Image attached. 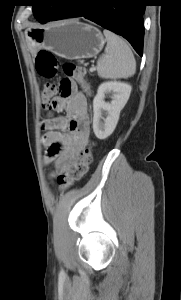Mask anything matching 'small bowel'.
I'll return each instance as SVG.
<instances>
[{"label":"small bowel","mask_w":181,"mask_h":300,"mask_svg":"<svg viewBox=\"0 0 181 300\" xmlns=\"http://www.w3.org/2000/svg\"><path fill=\"white\" fill-rule=\"evenodd\" d=\"M52 109L65 113L51 117L42 124L47 130L43 143L46 148L45 164H54L51 177L74 163L87 144L89 137L88 104L76 84L68 79L61 82V93L51 101Z\"/></svg>","instance_id":"1"}]
</instances>
